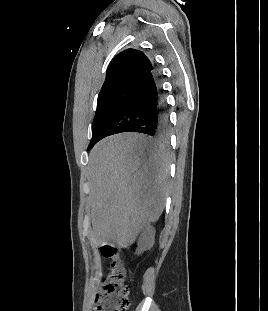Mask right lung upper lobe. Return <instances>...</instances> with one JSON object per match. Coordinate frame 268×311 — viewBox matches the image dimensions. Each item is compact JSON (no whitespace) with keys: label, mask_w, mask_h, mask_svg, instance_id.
Returning <instances> with one entry per match:
<instances>
[{"label":"right lung upper lobe","mask_w":268,"mask_h":311,"mask_svg":"<svg viewBox=\"0 0 268 311\" xmlns=\"http://www.w3.org/2000/svg\"><path fill=\"white\" fill-rule=\"evenodd\" d=\"M151 69L152 63L143 52L135 49L120 52L109 64L98 98L124 85L137 84Z\"/></svg>","instance_id":"cb5924a9"}]
</instances>
